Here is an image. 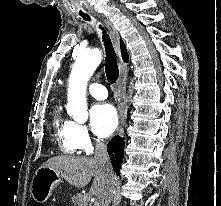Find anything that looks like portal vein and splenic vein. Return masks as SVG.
<instances>
[{"label": "portal vein and splenic vein", "mask_w": 221, "mask_h": 206, "mask_svg": "<svg viewBox=\"0 0 221 206\" xmlns=\"http://www.w3.org/2000/svg\"><path fill=\"white\" fill-rule=\"evenodd\" d=\"M86 199H88V200L90 199V195H89V194H88V195H86Z\"/></svg>", "instance_id": "18ae733b"}]
</instances>
